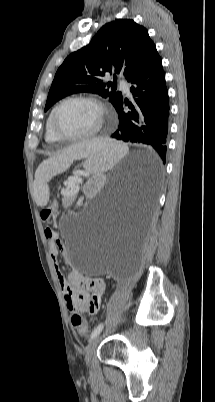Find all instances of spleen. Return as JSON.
Returning a JSON list of instances; mask_svg holds the SVG:
<instances>
[{
  "label": "spleen",
  "mask_w": 215,
  "mask_h": 402,
  "mask_svg": "<svg viewBox=\"0 0 215 402\" xmlns=\"http://www.w3.org/2000/svg\"><path fill=\"white\" fill-rule=\"evenodd\" d=\"M128 152V147L123 143L115 142L108 138H96L71 146L63 154L44 161L36 172L34 195L39 209L47 207V182L56 174L67 170L74 159L85 157L83 164L85 170L93 177L97 169H110L121 157Z\"/></svg>",
  "instance_id": "3e777b00"
}]
</instances>
